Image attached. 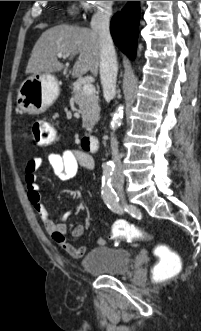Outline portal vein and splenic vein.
I'll return each mask as SVG.
<instances>
[{"label": "portal vein and splenic vein", "instance_id": "obj_1", "mask_svg": "<svg viewBox=\"0 0 201 331\" xmlns=\"http://www.w3.org/2000/svg\"><path fill=\"white\" fill-rule=\"evenodd\" d=\"M57 56L59 58H64L66 59L67 56L62 54V53H58ZM83 91L86 93V94H94L95 93V87L93 84H91L90 82H87L83 85Z\"/></svg>", "mask_w": 201, "mask_h": 331}]
</instances>
